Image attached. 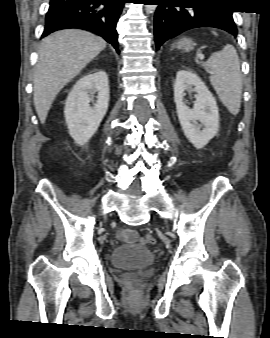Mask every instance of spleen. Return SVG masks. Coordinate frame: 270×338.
Listing matches in <instances>:
<instances>
[{
    "mask_svg": "<svg viewBox=\"0 0 270 338\" xmlns=\"http://www.w3.org/2000/svg\"><path fill=\"white\" fill-rule=\"evenodd\" d=\"M202 65L211 71L210 83L228 111L237 115L241 105L242 75L236 49L227 44Z\"/></svg>",
    "mask_w": 270,
    "mask_h": 338,
    "instance_id": "obj_1",
    "label": "spleen"
}]
</instances>
